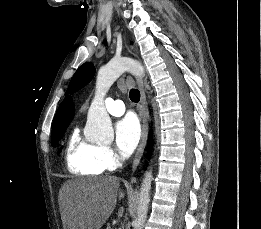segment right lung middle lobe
I'll list each match as a JSON object with an SVG mask.
<instances>
[{"mask_svg":"<svg viewBox=\"0 0 261 229\" xmlns=\"http://www.w3.org/2000/svg\"><path fill=\"white\" fill-rule=\"evenodd\" d=\"M68 125H69V123L53 125L52 146H54L62 138V136H63ZM58 153H60V151Z\"/></svg>","mask_w":261,"mask_h":229,"instance_id":"dd1d6c3e","label":"right lung middle lobe"}]
</instances>
